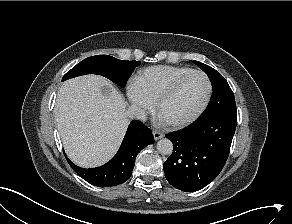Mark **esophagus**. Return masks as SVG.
Masks as SVG:
<instances>
[{"label":"esophagus","mask_w":292,"mask_h":224,"mask_svg":"<svg viewBox=\"0 0 292 224\" xmlns=\"http://www.w3.org/2000/svg\"><path fill=\"white\" fill-rule=\"evenodd\" d=\"M153 133V136H154V139L155 140H159V139H161L164 135L161 133V132H159V131H153L152 132Z\"/></svg>","instance_id":"1"}]
</instances>
